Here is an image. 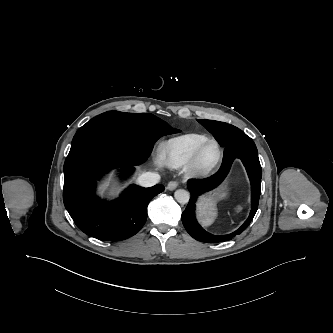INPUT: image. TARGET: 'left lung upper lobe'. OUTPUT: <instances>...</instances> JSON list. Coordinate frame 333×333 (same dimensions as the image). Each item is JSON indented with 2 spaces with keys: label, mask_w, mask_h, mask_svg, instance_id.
Wrapping results in <instances>:
<instances>
[{
  "label": "left lung upper lobe",
  "mask_w": 333,
  "mask_h": 333,
  "mask_svg": "<svg viewBox=\"0 0 333 333\" xmlns=\"http://www.w3.org/2000/svg\"><path fill=\"white\" fill-rule=\"evenodd\" d=\"M198 122L213 134L222 147L226 146L232 136L242 132L237 127L224 122L203 119H199Z\"/></svg>",
  "instance_id": "left-lung-upper-lobe-1"
}]
</instances>
